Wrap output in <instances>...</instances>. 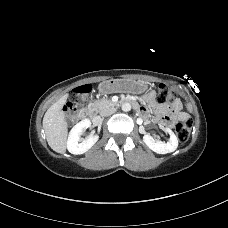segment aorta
Here are the masks:
<instances>
[{
	"label": "aorta",
	"mask_w": 228,
	"mask_h": 228,
	"mask_svg": "<svg viewBox=\"0 0 228 228\" xmlns=\"http://www.w3.org/2000/svg\"><path fill=\"white\" fill-rule=\"evenodd\" d=\"M122 110H123L124 112H129V111L131 110V104H130V103H124V104L122 105Z\"/></svg>",
	"instance_id": "obj_1"
}]
</instances>
